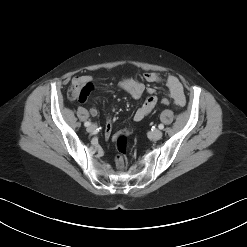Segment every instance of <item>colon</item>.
I'll return each instance as SVG.
<instances>
[{"label":"colon","mask_w":247,"mask_h":247,"mask_svg":"<svg viewBox=\"0 0 247 247\" xmlns=\"http://www.w3.org/2000/svg\"><path fill=\"white\" fill-rule=\"evenodd\" d=\"M90 90H91V88L88 86H85L83 88L71 86L68 94H69L70 98L77 99L80 102H83V101H85L86 97L90 93ZM160 103H161V105L168 107L172 104V101L167 99V98H163V99H161ZM116 144H117V150L119 152L118 163L120 165H122L124 162V156H125V154L127 152V148H128L127 135L124 133L120 134L117 137Z\"/></svg>","instance_id":"1"}]
</instances>
